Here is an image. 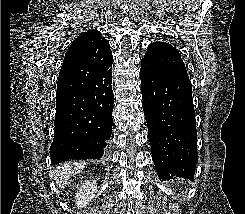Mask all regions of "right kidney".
<instances>
[{"label": "right kidney", "instance_id": "ca27d5eb", "mask_svg": "<svg viewBox=\"0 0 245 214\" xmlns=\"http://www.w3.org/2000/svg\"><path fill=\"white\" fill-rule=\"evenodd\" d=\"M97 191L96 181H85L75 194V202L78 208H86Z\"/></svg>", "mask_w": 245, "mask_h": 214}]
</instances>
